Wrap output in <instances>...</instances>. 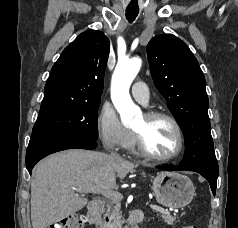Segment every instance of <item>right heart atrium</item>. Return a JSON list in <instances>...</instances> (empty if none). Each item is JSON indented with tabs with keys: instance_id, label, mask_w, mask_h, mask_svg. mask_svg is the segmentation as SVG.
Listing matches in <instances>:
<instances>
[{
	"instance_id": "right-heart-atrium-1",
	"label": "right heart atrium",
	"mask_w": 238,
	"mask_h": 228,
	"mask_svg": "<svg viewBox=\"0 0 238 228\" xmlns=\"http://www.w3.org/2000/svg\"><path fill=\"white\" fill-rule=\"evenodd\" d=\"M98 136L105 148L120 150L127 146L131 139V131L123 125L116 110L105 103L97 118Z\"/></svg>"
}]
</instances>
